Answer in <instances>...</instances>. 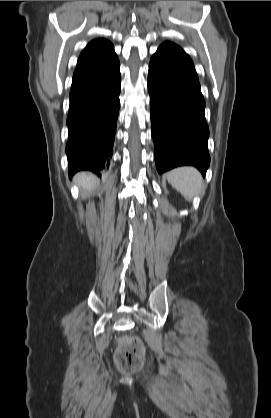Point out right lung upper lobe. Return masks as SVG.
Returning a JSON list of instances; mask_svg holds the SVG:
<instances>
[{
	"label": "right lung upper lobe",
	"mask_w": 271,
	"mask_h": 418,
	"mask_svg": "<svg viewBox=\"0 0 271 418\" xmlns=\"http://www.w3.org/2000/svg\"><path fill=\"white\" fill-rule=\"evenodd\" d=\"M115 60H117V55L111 42L105 39H95L89 42L78 59L72 86L91 77Z\"/></svg>",
	"instance_id": "obj_1"
}]
</instances>
